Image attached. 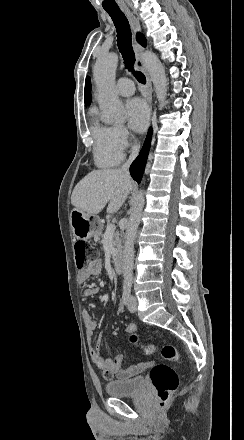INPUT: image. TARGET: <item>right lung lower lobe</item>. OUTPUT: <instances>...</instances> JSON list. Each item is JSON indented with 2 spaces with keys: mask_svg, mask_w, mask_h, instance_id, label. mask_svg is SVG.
<instances>
[{
  "mask_svg": "<svg viewBox=\"0 0 244 440\" xmlns=\"http://www.w3.org/2000/svg\"><path fill=\"white\" fill-rule=\"evenodd\" d=\"M151 139H152V129L150 128L147 137L145 139L144 145L139 153V156L130 166V174L132 178L138 183L141 182L143 176V172L145 169V165L151 145Z\"/></svg>",
  "mask_w": 244,
  "mask_h": 440,
  "instance_id": "1",
  "label": "right lung lower lobe"
}]
</instances>
